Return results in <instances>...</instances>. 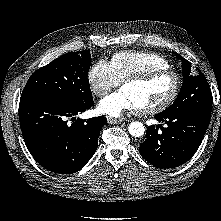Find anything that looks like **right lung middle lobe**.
Instances as JSON below:
<instances>
[{
    "mask_svg": "<svg viewBox=\"0 0 221 221\" xmlns=\"http://www.w3.org/2000/svg\"><path fill=\"white\" fill-rule=\"evenodd\" d=\"M90 62L89 50L60 56L31 75L21 97L38 94L78 104L93 101L87 78Z\"/></svg>",
    "mask_w": 221,
    "mask_h": 221,
    "instance_id": "dd1d6c3e",
    "label": "right lung middle lobe"
}]
</instances>
